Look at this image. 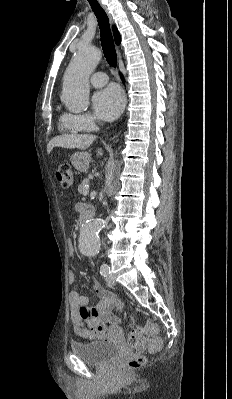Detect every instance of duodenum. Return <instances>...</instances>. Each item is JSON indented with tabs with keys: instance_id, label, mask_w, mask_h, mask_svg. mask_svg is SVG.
I'll return each mask as SVG.
<instances>
[{
	"instance_id": "410a0bca",
	"label": "duodenum",
	"mask_w": 232,
	"mask_h": 399,
	"mask_svg": "<svg viewBox=\"0 0 232 399\" xmlns=\"http://www.w3.org/2000/svg\"><path fill=\"white\" fill-rule=\"evenodd\" d=\"M86 216L81 217L80 224H84L86 222Z\"/></svg>"
}]
</instances>
